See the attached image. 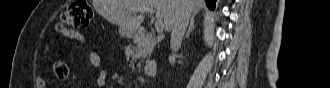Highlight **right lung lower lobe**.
Listing matches in <instances>:
<instances>
[{
    "instance_id": "98d812e1",
    "label": "right lung lower lobe",
    "mask_w": 330,
    "mask_h": 88,
    "mask_svg": "<svg viewBox=\"0 0 330 88\" xmlns=\"http://www.w3.org/2000/svg\"><path fill=\"white\" fill-rule=\"evenodd\" d=\"M209 9H214L215 8V3L217 0H205Z\"/></svg>"
}]
</instances>
